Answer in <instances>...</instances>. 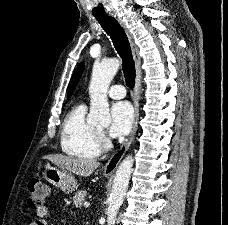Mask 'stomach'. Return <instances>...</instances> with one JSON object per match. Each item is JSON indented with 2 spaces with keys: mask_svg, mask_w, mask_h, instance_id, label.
Returning a JSON list of instances; mask_svg holds the SVG:
<instances>
[{
  "mask_svg": "<svg viewBox=\"0 0 228 225\" xmlns=\"http://www.w3.org/2000/svg\"><path fill=\"white\" fill-rule=\"evenodd\" d=\"M43 177L48 183L64 191L66 195L73 193V191H76L79 187L75 177L71 175L70 171H66V169H57V167L45 165Z\"/></svg>",
  "mask_w": 228,
  "mask_h": 225,
  "instance_id": "0dacf381",
  "label": "stomach"
}]
</instances>
